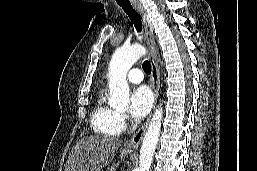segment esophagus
<instances>
[{"instance_id": "34e87169", "label": "esophagus", "mask_w": 257, "mask_h": 171, "mask_svg": "<svg viewBox=\"0 0 257 171\" xmlns=\"http://www.w3.org/2000/svg\"><path fill=\"white\" fill-rule=\"evenodd\" d=\"M133 6L142 17V21L145 28L144 35H145L147 46L149 48V59H150L151 69H152L151 80H152V86L154 90V105H153V110H154L155 105L157 103L158 95H159L160 80H159V70L156 64L157 47H156L155 36L153 33V25L148 17V14L145 8L141 3L134 2ZM148 122H149V119L126 142L125 144L126 150H129V151L138 150L142 142L146 128L148 126Z\"/></svg>"}]
</instances>
